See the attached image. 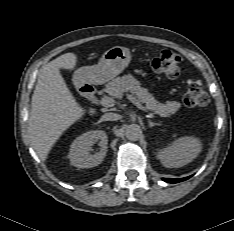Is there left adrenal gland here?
I'll use <instances>...</instances> for the list:
<instances>
[{"label":"left adrenal gland","instance_id":"left-adrenal-gland-1","mask_svg":"<svg viewBox=\"0 0 234 231\" xmlns=\"http://www.w3.org/2000/svg\"><path fill=\"white\" fill-rule=\"evenodd\" d=\"M148 124H149V127L151 128V127H154V126H160V124L159 123H154V122H152V121H148Z\"/></svg>","mask_w":234,"mask_h":231}]
</instances>
